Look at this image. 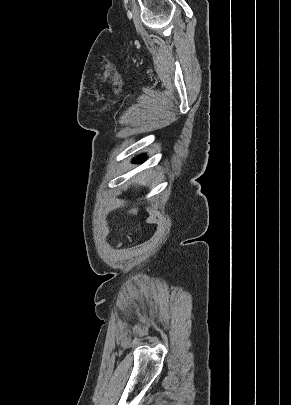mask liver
I'll return each instance as SVG.
<instances>
[{
  "mask_svg": "<svg viewBox=\"0 0 291 405\" xmlns=\"http://www.w3.org/2000/svg\"><path fill=\"white\" fill-rule=\"evenodd\" d=\"M144 184V182H141V181H139V184ZM130 213H133V214H136L137 213V209H132L131 211H130Z\"/></svg>",
  "mask_w": 291,
  "mask_h": 405,
  "instance_id": "1",
  "label": "liver"
}]
</instances>
